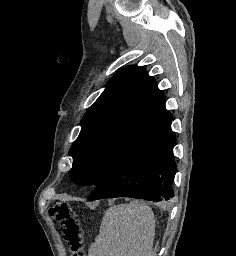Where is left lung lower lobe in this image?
Listing matches in <instances>:
<instances>
[{
  "label": "left lung lower lobe",
  "mask_w": 236,
  "mask_h": 256,
  "mask_svg": "<svg viewBox=\"0 0 236 256\" xmlns=\"http://www.w3.org/2000/svg\"><path fill=\"white\" fill-rule=\"evenodd\" d=\"M165 105L131 136L116 164L88 197L89 201L132 197L160 201L174 196L175 135Z\"/></svg>",
  "instance_id": "obj_1"
}]
</instances>
